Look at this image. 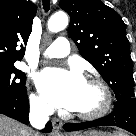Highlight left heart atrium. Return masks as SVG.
I'll use <instances>...</instances> for the list:
<instances>
[{"instance_id":"obj_1","label":"left heart atrium","mask_w":136,"mask_h":136,"mask_svg":"<svg viewBox=\"0 0 136 136\" xmlns=\"http://www.w3.org/2000/svg\"><path fill=\"white\" fill-rule=\"evenodd\" d=\"M42 95L54 106L76 111L79 107L85 79L78 70L44 69L37 78Z\"/></svg>"}]
</instances>
